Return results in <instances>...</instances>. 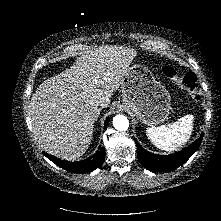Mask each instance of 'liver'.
<instances>
[{
    "label": "liver",
    "instance_id": "1",
    "mask_svg": "<svg viewBox=\"0 0 221 221\" xmlns=\"http://www.w3.org/2000/svg\"><path fill=\"white\" fill-rule=\"evenodd\" d=\"M136 55L132 48L105 45L40 84L29 115L34 136L46 152L71 161L87 151L100 115L96 100L105 98L109 106Z\"/></svg>",
    "mask_w": 221,
    "mask_h": 221
}]
</instances>
